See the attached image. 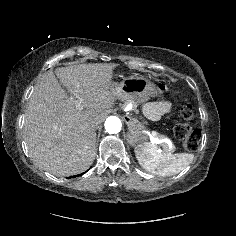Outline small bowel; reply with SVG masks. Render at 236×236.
<instances>
[{"label":"small bowel","mask_w":236,"mask_h":236,"mask_svg":"<svg viewBox=\"0 0 236 236\" xmlns=\"http://www.w3.org/2000/svg\"><path fill=\"white\" fill-rule=\"evenodd\" d=\"M168 109V105L164 103H154L150 107V113L151 114H156L162 111H165Z\"/></svg>","instance_id":"1"}]
</instances>
